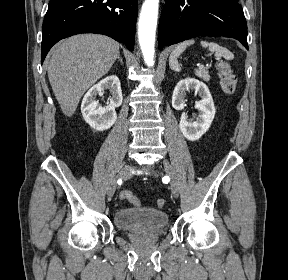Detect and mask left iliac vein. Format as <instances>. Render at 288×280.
<instances>
[{
    "label": "left iliac vein",
    "instance_id": "1",
    "mask_svg": "<svg viewBox=\"0 0 288 280\" xmlns=\"http://www.w3.org/2000/svg\"><path fill=\"white\" fill-rule=\"evenodd\" d=\"M164 169H165V172L172 177L173 173H172V168L170 166V164L167 162V161H164ZM170 186H171V191H172V194L175 198L178 197L179 195V188H178V184L176 182V180L174 178L171 179V182H170Z\"/></svg>",
    "mask_w": 288,
    "mask_h": 280
}]
</instances>
